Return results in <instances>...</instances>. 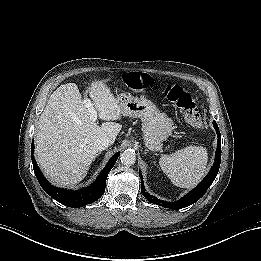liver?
I'll use <instances>...</instances> for the list:
<instances>
[{
  "mask_svg": "<svg viewBox=\"0 0 261 261\" xmlns=\"http://www.w3.org/2000/svg\"><path fill=\"white\" fill-rule=\"evenodd\" d=\"M101 126L90 119L78 86L67 83L58 87L48 99L39 118L35 139V156L43 174L59 185H76L87 175L96 158L97 138L114 143L122 125L121 107L102 81H93L88 88Z\"/></svg>",
  "mask_w": 261,
  "mask_h": 261,
  "instance_id": "obj_1",
  "label": "liver"
}]
</instances>
